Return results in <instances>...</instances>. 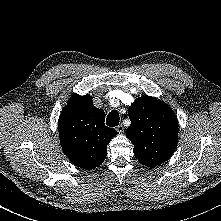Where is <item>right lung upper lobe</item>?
<instances>
[{"mask_svg": "<svg viewBox=\"0 0 221 221\" xmlns=\"http://www.w3.org/2000/svg\"><path fill=\"white\" fill-rule=\"evenodd\" d=\"M104 121V111L93 105L90 95L70 97L61 112L58 129L62 150L74 165L92 170L103 163L106 146L117 134Z\"/></svg>", "mask_w": 221, "mask_h": 221, "instance_id": "cb5924a9", "label": "right lung upper lobe"}]
</instances>
